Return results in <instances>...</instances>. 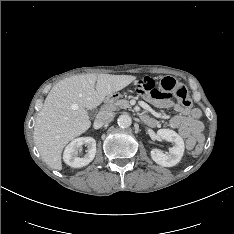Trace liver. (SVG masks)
Returning a JSON list of instances; mask_svg holds the SVG:
<instances>
[{
    "label": "liver",
    "instance_id": "obj_1",
    "mask_svg": "<svg viewBox=\"0 0 234 234\" xmlns=\"http://www.w3.org/2000/svg\"><path fill=\"white\" fill-rule=\"evenodd\" d=\"M135 79L132 75L82 74L58 82L47 95L34 127V142L43 161L61 170L66 144L91 126L87 109L96 108L106 96Z\"/></svg>",
    "mask_w": 234,
    "mask_h": 234
}]
</instances>
